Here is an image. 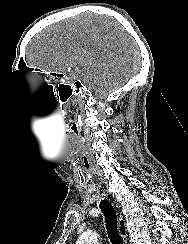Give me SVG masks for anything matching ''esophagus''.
<instances>
[{
	"mask_svg": "<svg viewBox=\"0 0 188 244\" xmlns=\"http://www.w3.org/2000/svg\"><path fill=\"white\" fill-rule=\"evenodd\" d=\"M118 231L120 236L122 237L124 243H127V229H126V223L122 215H119L118 218Z\"/></svg>",
	"mask_w": 188,
	"mask_h": 244,
	"instance_id": "34e87169",
	"label": "esophagus"
}]
</instances>
